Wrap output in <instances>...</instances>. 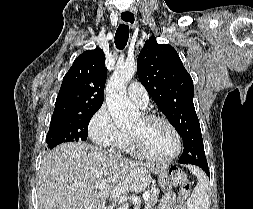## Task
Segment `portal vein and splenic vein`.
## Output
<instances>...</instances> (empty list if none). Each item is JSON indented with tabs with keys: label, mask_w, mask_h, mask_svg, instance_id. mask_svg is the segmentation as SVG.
I'll use <instances>...</instances> for the list:
<instances>
[{
	"label": "portal vein and splenic vein",
	"mask_w": 253,
	"mask_h": 209,
	"mask_svg": "<svg viewBox=\"0 0 253 209\" xmlns=\"http://www.w3.org/2000/svg\"><path fill=\"white\" fill-rule=\"evenodd\" d=\"M96 188H98L99 190L105 189L106 188V182H100V183H98L97 186H96ZM121 191H122V187H116V188L113 189L112 192H113L114 195H117ZM149 195H150L149 191L144 192L143 195H142L143 200L144 201L148 200ZM119 209H123V208H119Z\"/></svg>",
	"instance_id": "18ae733b"
}]
</instances>
